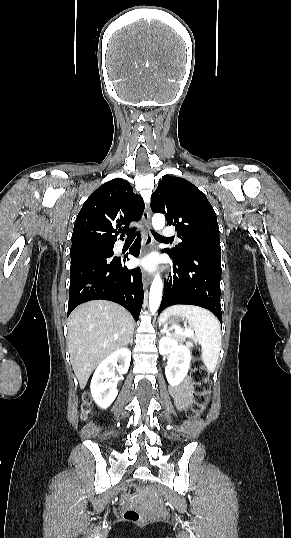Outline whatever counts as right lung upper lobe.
<instances>
[{"instance_id": "right-lung-upper-lobe-1", "label": "right lung upper lobe", "mask_w": 291, "mask_h": 538, "mask_svg": "<svg viewBox=\"0 0 291 538\" xmlns=\"http://www.w3.org/2000/svg\"><path fill=\"white\" fill-rule=\"evenodd\" d=\"M144 207L142 197L133 192L128 181L118 178L101 185L85 201L75 220L71 250L114 245L118 228L128 229L131 222L140 220Z\"/></svg>"}]
</instances>
